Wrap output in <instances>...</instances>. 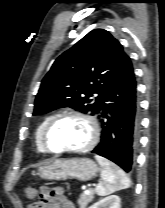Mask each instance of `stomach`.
I'll use <instances>...</instances> for the list:
<instances>
[{"instance_id":"obj_1","label":"stomach","mask_w":165,"mask_h":208,"mask_svg":"<svg viewBox=\"0 0 165 208\" xmlns=\"http://www.w3.org/2000/svg\"><path fill=\"white\" fill-rule=\"evenodd\" d=\"M97 172V164L88 158L54 159L38 169V175L46 180L88 181L94 178Z\"/></svg>"}]
</instances>
